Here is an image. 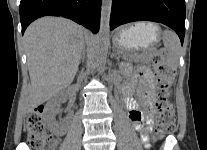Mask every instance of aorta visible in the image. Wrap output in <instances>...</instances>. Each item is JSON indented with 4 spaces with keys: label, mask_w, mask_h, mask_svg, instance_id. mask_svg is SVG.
I'll use <instances>...</instances> for the list:
<instances>
[{
    "label": "aorta",
    "mask_w": 207,
    "mask_h": 150,
    "mask_svg": "<svg viewBox=\"0 0 207 150\" xmlns=\"http://www.w3.org/2000/svg\"><path fill=\"white\" fill-rule=\"evenodd\" d=\"M112 9V0H102L100 29L96 39L95 62L100 72L106 63L110 47V16Z\"/></svg>",
    "instance_id": "762f6f07"
}]
</instances>
